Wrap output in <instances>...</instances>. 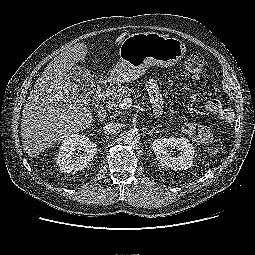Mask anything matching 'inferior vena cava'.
<instances>
[{
	"mask_svg": "<svg viewBox=\"0 0 255 255\" xmlns=\"http://www.w3.org/2000/svg\"><path fill=\"white\" fill-rule=\"evenodd\" d=\"M120 128L119 123L109 122L103 127V131L105 134L112 135L115 134Z\"/></svg>",
	"mask_w": 255,
	"mask_h": 255,
	"instance_id": "obj_1",
	"label": "inferior vena cava"
}]
</instances>
